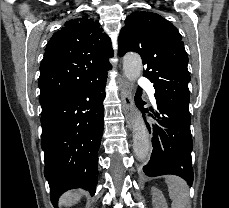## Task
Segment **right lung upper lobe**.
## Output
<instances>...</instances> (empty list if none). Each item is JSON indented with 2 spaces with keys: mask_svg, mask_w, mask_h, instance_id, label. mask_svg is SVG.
<instances>
[{
  "mask_svg": "<svg viewBox=\"0 0 229 208\" xmlns=\"http://www.w3.org/2000/svg\"><path fill=\"white\" fill-rule=\"evenodd\" d=\"M111 41L98 21L72 19L54 33L40 65V104L52 105L98 80L111 69Z\"/></svg>",
  "mask_w": 229,
  "mask_h": 208,
  "instance_id": "obj_1",
  "label": "right lung upper lobe"
}]
</instances>
